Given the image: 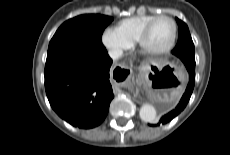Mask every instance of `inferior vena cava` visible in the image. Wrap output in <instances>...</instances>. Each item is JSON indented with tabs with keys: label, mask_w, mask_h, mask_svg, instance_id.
I'll return each instance as SVG.
<instances>
[{
	"label": "inferior vena cava",
	"mask_w": 230,
	"mask_h": 155,
	"mask_svg": "<svg viewBox=\"0 0 230 155\" xmlns=\"http://www.w3.org/2000/svg\"><path fill=\"white\" fill-rule=\"evenodd\" d=\"M108 54L113 60H116L122 56L123 51L121 49H111Z\"/></svg>",
	"instance_id": "602c4592"
}]
</instances>
